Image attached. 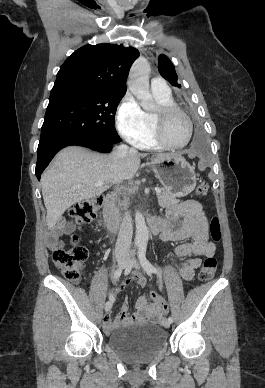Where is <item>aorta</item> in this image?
<instances>
[{
	"label": "aorta",
	"mask_w": 265,
	"mask_h": 388,
	"mask_svg": "<svg viewBox=\"0 0 265 388\" xmlns=\"http://www.w3.org/2000/svg\"><path fill=\"white\" fill-rule=\"evenodd\" d=\"M150 66L145 58H139L131 68L128 86L134 96L141 101L144 109L152 106V95L149 91ZM135 245L145 247L149 239V231L145 223L144 216L140 211L135 213Z\"/></svg>",
	"instance_id": "obj_1"
}]
</instances>
